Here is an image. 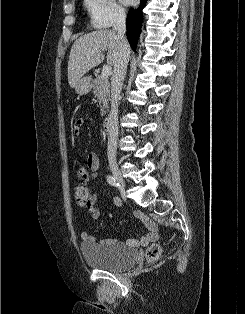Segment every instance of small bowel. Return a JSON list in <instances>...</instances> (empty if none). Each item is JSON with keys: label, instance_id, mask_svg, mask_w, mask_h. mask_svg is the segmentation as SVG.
<instances>
[{"label": "small bowel", "instance_id": "c3829d8e", "mask_svg": "<svg viewBox=\"0 0 245 314\" xmlns=\"http://www.w3.org/2000/svg\"><path fill=\"white\" fill-rule=\"evenodd\" d=\"M82 125H83V120L78 119L74 125V128H73V134L74 135L79 134L80 127ZM98 167H99V159H98V156L96 155V153H94V152L86 153L84 158H83V161L79 162L78 167H77V173H78V176L80 177L81 181L82 182H88L92 179H95L97 177ZM96 201H97V193L94 191L92 193L91 200H90L89 204L87 205L90 216L94 220H98L101 218V212L95 206ZM115 204L117 206H119L120 200L117 199L115 201ZM135 217L140 219L144 223V225L147 229V233L145 235L141 236L140 239H138V240L128 239L127 244L130 246H137V245L146 246V245L150 244L151 242L156 241L159 237L157 225L153 221H151L141 211L135 212ZM81 238L86 243H95L97 241L96 237L94 235H91L87 231H83L81 233ZM115 241H116V239L110 238V239L103 240L102 243L115 242Z\"/></svg>", "mask_w": 245, "mask_h": 314}]
</instances>
